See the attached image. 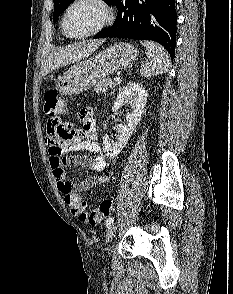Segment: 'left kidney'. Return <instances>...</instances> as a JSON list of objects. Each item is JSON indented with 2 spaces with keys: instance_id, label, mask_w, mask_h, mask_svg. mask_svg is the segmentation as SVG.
<instances>
[{
  "instance_id": "1",
  "label": "left kidney",
  "mask_w": 233,
  "mask_h": 294,
  "mask_svg": "<svg viewBox=\"0 0 233 294\" xmlns=\"http://www.w3.org/2000/svg\"><path fill=\"white\" fill-rule=\"evenodd\" d=\"M147 97V91L138 83L132 82L122 88L114 102L112 111L117 112L122 106L127 105L130 107V112L126 114V122L117 125L116 129L119 132L117 141L114 142L107 136L103 137V151L107 157H116L125 147L141 119Z\"/></svg>"
}]
</instances>
